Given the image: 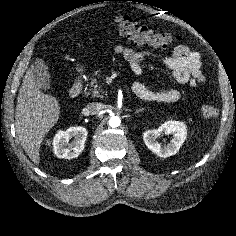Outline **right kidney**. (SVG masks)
Here are the masks:
<instances>
[{
	"mask_svg": "<svg viewBox=\"0 0 236 236\" xmlns=\"http://www.w3.org/2000/svg\"><path fill=\"white\" fill-rule=\"evenodd\" d=\"M87 130L82 126L70 127L59 131L53 140V151L58 158L73 159L79 156L85 146ZM74 138L72 142H69Z\"/></svg>",
	"mask_w": 236,
	"mask_h": 236,
	"instance_id": "right-kidney-1",
	"label": "right kidney"
}]
</instances>
